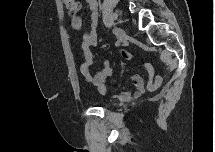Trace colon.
<instances>
[{
	"mask_svg": "<svg viewBox=\"0 0 215 152\" xmlns=\"http://www.w3.org/2000/svg\"><path fill=\"white\" fill-rule=\"evenodd\" d=\"M64 3L67 11L71 14H75L80 8V3L77 0H66ZM123 54L125 57L131 58V54L129 52L123 51Z\"/></svg>",
	"mask_w": 215,
	"mask_h": 152,
	"instance_id": "obj_1",
	"label": "colon"
}]
</instances>
